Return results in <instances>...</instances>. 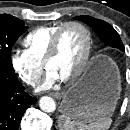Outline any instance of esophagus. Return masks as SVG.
Instances as JSON below:
<instances>
[{
	"label": "esophagus",
	"instance_id": "34e87169",
	"mask_svg": "<svg viewBox=\"0 0 130 130\" xmlns=\"http://www.w3.org/2000/svg\"><path fill=\"white\" fill-rule=\"evenodd\" d=\"M50 96L58 99V98H60V93L59 92H53V93H50Z\"/></svg>",
	"mask_w": 130,
	"mask_h": 130
}]
</instances>
